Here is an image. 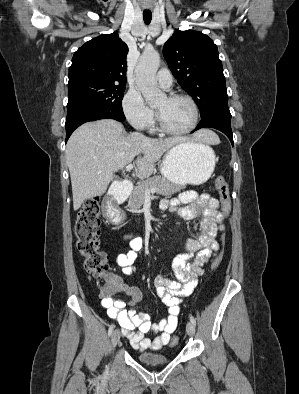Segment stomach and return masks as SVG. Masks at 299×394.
Returning <instances> with one entry per match:
<instances>
[{
    "instance_id": "1",
    "label": "stomach",
    "mask_w": 299,
    "mask_h": 394,
    "mask_svg": "<svg viewBox=\"0 0 299 394\" xmlns=\"http://www.w3.org/2000/svg\"><path fill=\"white\" fill-rule=\"evenodd\" d=\"M214 151L202 143L182 142L167 151L161 165L162 177L178 185H200L212 175Z\"/></svg>"
}]
</instances>
